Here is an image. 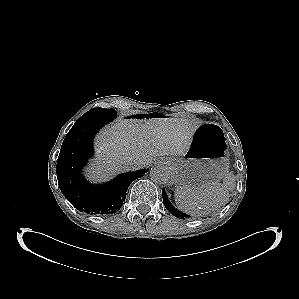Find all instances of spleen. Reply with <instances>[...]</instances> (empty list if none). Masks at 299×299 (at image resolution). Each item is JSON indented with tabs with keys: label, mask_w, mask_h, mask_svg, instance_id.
I'll return each instance as SVG.
<instances>
[{
	"label": "spleen",
	"mask_w": 299,
	"mask_h": 299,
	"mask_svg": "<svg viewBox=\"0 0 299 299\" xmlns=\"http://www.w3.org/2000/svg\"><path fill=\"white\" fill-rule=\"evenodd\" d=\"M235 187V177L229 173L223 183L214 182L203 189L178 186L175 190L176 206L183 212L204 216L223 206Z\"/></svg>",
	"instance_id": "spleen-1"
}]
</instances>
